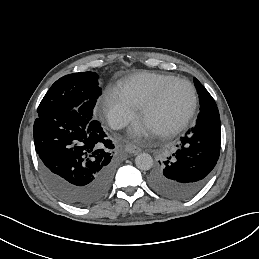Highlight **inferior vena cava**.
Returning <instances> with one entry per match:
<instances>
[{
    "label": "inferior vena cava",
    "mask_w": 259,
    "mask_h": 259,
    "mask_svg": "<svg viewBox=\"0 0 259 259\" xmlns=\"http://www.w3.org/2000/svg\"><path fill=\"white\" fill-rule=\"evenodd\" d=\"M109 123H110V126L112 129L117 130V129L124 127L126 125L127 121L125 118L115 115L111 118Z\"/></svg>",
    "instance_id": "obj_1"
}]
</instances>
